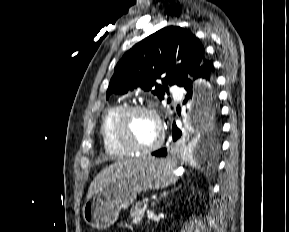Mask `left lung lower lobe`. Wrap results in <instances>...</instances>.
<instances>
[{
    "label": "left lung lower lobe",
    "mask_w": 289,
    "mask_h": 232,
    "mask_svg": "<svg viewBox=\"0 0 289 232\" xmlns=\"http://www.w3.org/2000/svg\"><path fill=\"white\" fill-rule=\"evenodd\" d=\"M213 71H214V68H213L212 62L204 58L202 64L200 65L196 73L194 74L193 79L194 80L197 78L205 79V81L208 83L211 90H214L215 83H214ZM183 87L187 91V95L185 99V101H187V99L191 98V95H192V81L190 80ZM213 96H215L214 93H213ZM216 113L218 114V117H219L218 109L215 108L209 113L207 117H204L202 121L207 119L211 115H215ZM181 135H182V132L180 131V129L177 128L174 122L173 123V141H178ZM177 147L181 149H186L182 146V143L177 144ZM152 155L157 156V157H163L167 155V150L166 148H162L158 151L153 152Z\"/></svg>",
    "instance_id": "left-lung-lower-lobe-1"
}]
</instances>
